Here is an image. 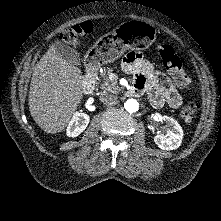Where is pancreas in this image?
Listing matches in <instances>:
<instances>
[{
  "mask_svg": "<svg viewBox=\"0 0 221 221\" xmlns=\"http://www.w3.org/2000/svg\"><path fill=\"white\" fill-rule=\"evenodd\" d=\"M112 68L105 67L101 72L102 83L100 84L101 89H103V92H110V93H119L122 90V87H119L117 85V82H111L109 80V75L112 72Z\"/></svg>",
  "mask_w": 221,
  "mask_h": 221,
  "instance_id": "obj_1",
  "label": "pancreas"
}]
</instances>
